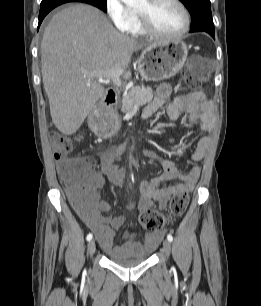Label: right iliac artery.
<instances>
[{
  "label": "right iliac artery",
  "instance_id": "1",
  "mask_svg": "<svg viewBox=\"0 0 261 306\" xmlns=\"http://www.w3.org/2000/svg\"><path fill=\"white\" fill-rule=\"evenodd\" d=\"M92 237H93V235L91 234V233H89L88 235H87V241H90L91 239H92Z\"/></svg>",
  "mask_w": 261,
  "mask_h": 306
}]
</instances>
